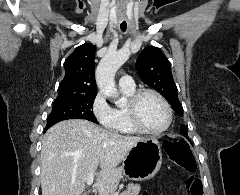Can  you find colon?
I'll list each match as a JSON object with an SVG mask.
<instances>
[{"label": "colon", "mask_w": 240, "mask_h": 195, "mask_svg": "<svg viewBox=\"0 0 240 195\" xmlns=\"http://www.w3.org/2000/svg\"><path fill=\"white\" fill-rule=\"evenodd\" d=\"M164 150L168 157L182 168L196 169V159L187 140L167 141L164 144ZM188 195H203V184L199 178L188 177Z\"/></svg>", "instance_id": "obj_1"}]
</instances>
